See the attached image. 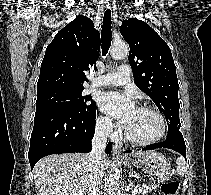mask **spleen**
<instances>
[{"label": "spleen", "instance_id": "1", "mask_svg": "<svg viewBox=\"0 0 211 195\" xmlns=\"http://www.w3.org/2000/svg\"><path fill=\"white\" fill-rule=\"evenodd\" d=\"M176 164H177V173L179 175H184L185 172H186V165H185V160L183 157H178L177 158V161H176Z\"/></svg>", "mask_w": 211, "mask_h": 195}]
</instances>
